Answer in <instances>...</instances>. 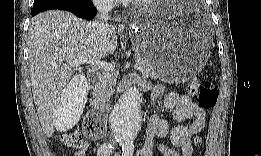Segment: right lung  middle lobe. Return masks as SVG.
<instances>
[{"label":"right lung middle lobe","mask_w":261,"mask_h":156,"mask_svg":"<svg viewBox=\"0 0 261 156\" xmlns=\"http://www.w3.org/2000/svg\"><path fill=\"white\" fill-rule=\"evenodd\" d=\"M65 1H68V0H35L34 4H33V9L41 8V7H45V6L56 5V4L63 3Z\"/></svg>","instance_id":"right-lung-middle-lobe-1"}]
</instances>
